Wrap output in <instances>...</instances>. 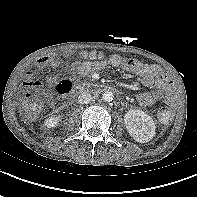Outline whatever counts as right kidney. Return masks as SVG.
Instances as JSON below:
<instances>
[{"mask_svg": "<svg viewBox=\"0 0 197 197\" xmlns=\"http://www.w3.org/2000/svg\"><path fill=\"white\" fill-rule=\"evenodd\" d=\"M62 118L61 115L58 116H53V117H49L46 121H45V126L47 128H54L58 125L60 119Z\"/></svg>", "mask_w": 197, "mask_h": 197, "instance_id": "obj_1", "label": "right kidney"}]
</instances>
